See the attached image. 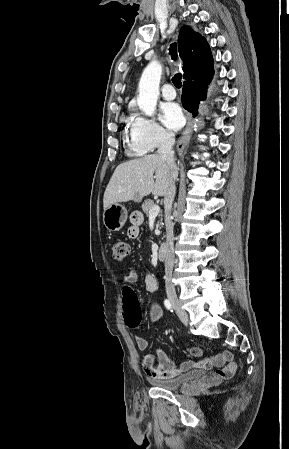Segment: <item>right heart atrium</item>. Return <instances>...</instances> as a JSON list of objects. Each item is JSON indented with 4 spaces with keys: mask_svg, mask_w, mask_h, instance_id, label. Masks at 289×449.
Wrapping results in <instances>:
<instances>
[{
    "mask_svg": "<svg viewBox=\"0 0 289 449\" xmlns=\"http://www.w3.org/2000/svg\"><path fill=\"white\" fill-rule=\"evenodd\" d=\"M131 142L133 145L153 151L167 145L172 140V134L159 125L154 119L136 115L131 121Z\"/></svg>",
    "mask_w": 289,
    "mask_h": 449,
    "instance_id": "1",
    "label": "right heart atrium"
}]
</instances>
